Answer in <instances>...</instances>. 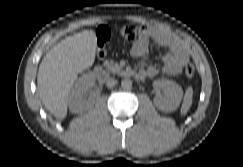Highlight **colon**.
I'll return each mask as SVG.
<instances>
[{"label":"colon","instance_id":"1","mask_svg":"<svg viewBox=\"0 0 243 167\" xmlns=\"http://www.w3.org/2000/svg\"><path fill=\"white\" fill-rule=\"evenodd\" d=\"M117 34L125 40L133 41L138 37L147 34V28L143 25H123L117 29ZM99 46V54L103 55L105 50V45L110 39L111 32L108 27L100 26L96 32ZM185 75L188 78H192L195 74V66L193 63L188 62L184 69Z\"/></svg>","mask_w":243,"mask_h":167}]
</instances>
